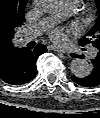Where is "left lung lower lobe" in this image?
<instances>
[{
    "mask_svg": "<svg viewBox=\"0 0 100 118\" xmlns=\"http://www.w3.org/2000/svg\"><path fill=\"white\" fill-rule=\"evenodd\" d=\"M76 57V55H74ZM83 58V56H80ZM91 72L88 76L79 78L72 75L71 79L84 87H95L100 85V49H98V53L94 59L91 60Z\"/></svg>",
    "mask_w": 100,
    "mask_h": 118,
    "instance_id": "left-lung-lower-lobe-1",
    "label": "left lung lower lobe"
}]
</instances>
